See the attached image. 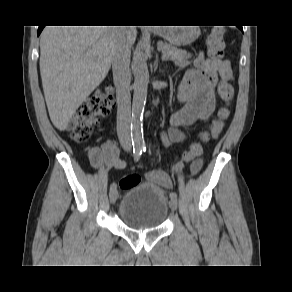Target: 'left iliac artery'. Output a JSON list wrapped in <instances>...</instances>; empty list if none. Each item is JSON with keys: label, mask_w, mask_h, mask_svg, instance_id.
Masks as SVG:
<instances>
[{"label": "left iliac artery", "mask_w": 292, "mask_h": 292, "mask_svg": "<svg viewBox=\"0 0 292 292\" xmlns=\"http://www.w3.org/2000/svg\"><path fill=\"white\" fill-rule=\"evenodd\" d=\"M143 151L145 152L146 148H144ZM169 196L171 200H177V194L175 192H171Z\"/></svg>", "instance_id": "obj_1"}]
</instances>
